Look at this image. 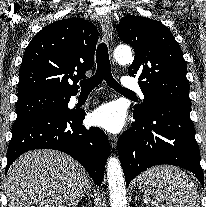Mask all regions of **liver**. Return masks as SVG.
Here are the masks:
<instances>
[{
	"label": "liver",
	"instance_id": "liver-1",
	"mask_svg": "<svg viewBox=\"0 0 206 207\" xmlns=\"http://www.w3.org/2000/svg\"><path fill=\"white\" fill-rule=\"evenodd\" d=\"M90 186L86 170L55 150H33L9 168L5 191L9 207H75Z\"/></svg>",
	"mask_w": 206,
	"mask_h": 207
}]
</instances>
